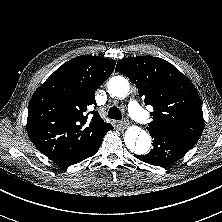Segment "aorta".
<instances>
[{
    "mask_svg": "<svg viewBox=\"0 0 222 222\" xmlns=\"http://www.w3.org/2000/svg\"><path fill=\"white\" fill-rule=\"evenodd\" d=\"M130 90L129 82L122 76L112 77L108 81V92L112 97L124 98ZM127 148L138 155H145L151 147L150 135L136 127L129 128L124 138Z\"/></svg>",
    "mask_w": 222,
    "mask_h": 222,
    "instance_id": "aorta-1",
    "label": "aorta"
}]
</instances>
